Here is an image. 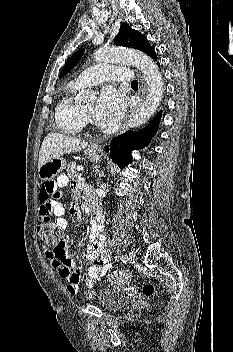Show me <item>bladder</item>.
Masks as SVG:
<instances>
[{
	"label": "bladder",
	"mask_w": 233,
	"mask_h": 352,
	"mask_svg": "<svg viewBox=\"0 0 233 352\" xmlns=\"http://www.w3.org/2000/svg\"><path fill=\"white\" fill-rule=\"evenodd\" d=\"M125 304V297L119 291L105 287L99 291L98 305L106 311H116L123 307Z\"/></svg>",
	"instance_id": "1"
}]
</instances>
